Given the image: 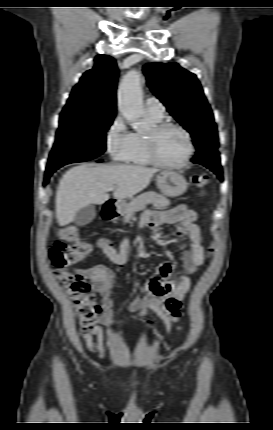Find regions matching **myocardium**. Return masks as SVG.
<instances>
[{"mask_svg": "<svg viewBox=\"0 0 273 430\" xmlns=\"http://www.w3.org/2000/svg\"><path fill=\"white\" fill-rule=\"evenodd\" d=\"M169 128H174V129L181 131L184 134L186 141H187V152H186L185 156L183 157V159L179 162H176V163L165 162V161L161 160L159 155H158V150H157L158 136L164 130L169 129ZM146 141H147V149H148L149 158H150L152 164L159 166V167H162V168H171V169L182 168L189 162L192 155L194 154V144L192 141L191 134L189 133V131L185 127H183L182 125L175 123V122L161 121V122L153 124L150 131L146 134Z\"/></svg>", "mask_w": 273, "mask_h": 430, "instance_id": "1", "label": "myocardium"}]
</instances>
